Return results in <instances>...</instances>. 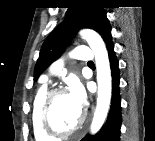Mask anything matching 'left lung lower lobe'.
I'll use <instances>...</instances> for the list:
<instances>
[{
    "label": "left lung lower lobe",
    "mask_w": 155,
    "mask_h": 141,
    "mask_svg": "<svg viewBox=\"0 0 155 141\" xmlns=\"http://www.w3.org/2000/svg\"><path fill=\"white\" fill-rule=\"evenodd\" d=\"M112 75V100L107 120L95 136H86L82 141H119L121 128V99L119 96V64L114 51L112 36L106 40Z\"/></svg>",
    "instance_id": "0a47b994"
}]
</instances>
